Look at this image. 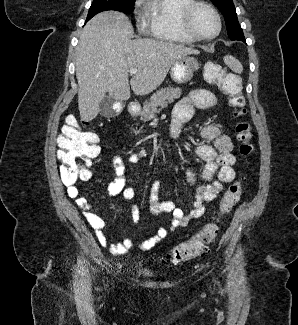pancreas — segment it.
I'll list each match as a JSON object with an SVG mask.
<instances>
[{
  "label": "pancreas",
  "instance_id": "pancreas-1",
  "mask_svg": "<svg viewBox=\"0 0 298 325\" xmlns=\"http://www.w3.org/2000/svg\"><path fill=\"white\" fill-rule=\"evenodd\" d=\"M182 94V88L179 86H166V88H159L156 90L152 96H150L149 100H145L143 102V110H141L140 114L141 120H152L157 116V112H161L162 108L168 106L169 102H174L175 98H180Z\"/></svg>",
  "mask_w": 298,
  "mask_h": 325
}]
</instances>
